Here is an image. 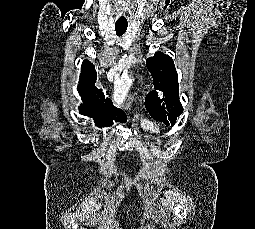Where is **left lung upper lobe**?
Returning <instances> with one entry per match:
<instances>
[{"mask_svg":"<svg viewBox=\"0 0 255 229\" xmlns=\"http://www.w3.org/2000/svg\"><path fill=\"white\" fill-rule=\"evenodd\" d=\"M146 66L153 78L155 89L147 94L145 108L153 119L166 125H174L183 112L174 62L171 57L158 51L147 58Z\"/></svg>","mask_w":255,"mask_h":229,"instance_id":"1","label":"left lung upper lobe"}]
</instances>
